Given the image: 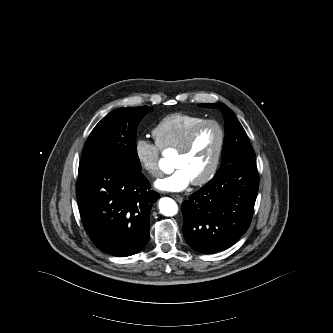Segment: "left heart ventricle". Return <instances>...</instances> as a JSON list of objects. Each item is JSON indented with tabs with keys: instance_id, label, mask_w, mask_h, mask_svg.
Listing matches in <instances>:
<instances>
[{
	"instance_id": "left-heart-ventricle-1",
	"label": "left heart ventricle",
	"mask_w": 333,
	"mask_h": 333,
	"mask_svg": "<svg viewBox=\"0 0 333 333\" xmlns=\"http://www.w3.org/2000/svg\"><path fill=\"white\" fill-rule=\"evenodd\" d=\"M219 142L215 126L208 125L197 134L191 150L187 154L176 153L174 167L183 168L194 181L203 176L210 168Z\"/></svg>"
}]
</instances>
